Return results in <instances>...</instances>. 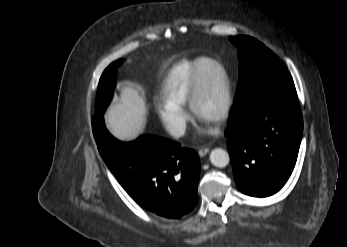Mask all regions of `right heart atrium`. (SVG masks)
Returning <instances> with one entry per match:
<instances>
[{"mask_svg": "<svg viewBox=\"0 0 347 247\" xmlns=\"http://www.w3.org/2000/svg\"><path fill=\"white\" fill-rule=\"evenodd\" d=\"M156 112L160 121L172 136L178 138L185 134L189 114L184 106L162 100L156 104Z\"/></svg>", "mask_w": 347, "mask_h": 247, "instance_id": "obj_1", "label": "right heart atrium"}]
</instances>
